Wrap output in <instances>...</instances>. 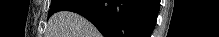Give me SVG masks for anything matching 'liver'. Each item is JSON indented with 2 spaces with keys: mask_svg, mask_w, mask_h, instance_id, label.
Here are the masks:
<instances>
[{
  "mask_svg": "<svg viewBox=\"0 0 219 37\" xmlns=\"http://www.w3.org/2000/svg\"><path fill=\"white\" fill-rule=\"evenodd\" d=\"M50 37H98L96 28L81 15L60 11L54 14L48 22Z\"/></svg>",
  "mask_w": 219,
  "mask_h": 37,
  "instance_id": "1",
  "label": "liver"
}]
</instances>
